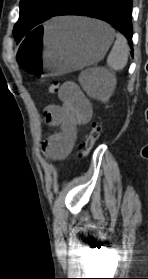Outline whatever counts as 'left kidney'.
Wrapping results in <instances>:
<instances>
[{
  "label": "left kidney",
  "mask_w": 148,
  "mask_h": 279,
  "mask_svg": "<svg viewBox=\"0 0 148 279\" xmlns=\"http://www.w3.org/2000/svg\"><path fill=\"white\" fill-rule=\"evenodd\" d=\"M109 97H110V94H109L108 96H106V97L101 98L100 100H101L102 102H107L108 99H109Z\"/></svg>",
  "instance_id": "left-kidney-1"
}]
</instances>
